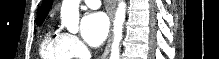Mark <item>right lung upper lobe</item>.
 I'll return each mask as SVG.
<instances>
[{"label": "right lung upper lobe", "instance_id": "1", "mask_svg": "<svg viewBox=\"0 0 219 59\" xmlns=\"http://www.w3.org/2000/svg\"><path fill=\"white\" fill-rule=\"evenodd\" d=\"M52 6V0H44L37 14V25L44 22L50 8Z\"/></svg>", "mask_w": 219, "mask_h": 59}]
</instances>
